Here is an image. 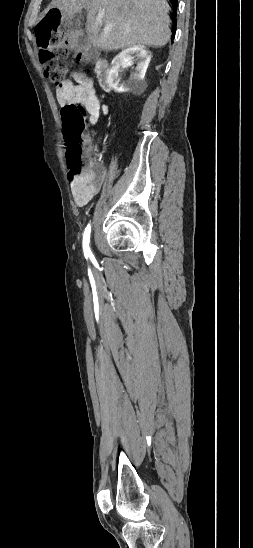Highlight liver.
<instances>
[{
    "label": "liver",
    "mask_w": 253,
    "mask_h": 548,
    "mask_svg": "<svg viewBox=\"0 0 253 548\" xmlns=\"http://www.w3.org/2000/svg\"><path fill=\"white\" fill-rule=\"evenodd\" d=\"M53 8L63 17L86 9L87 40L104 51L135 45L162 47L171 36L166 0H52L47 10Z\"/></svg>",
    "instance_id": "6515ba94"
}]
</instances>
